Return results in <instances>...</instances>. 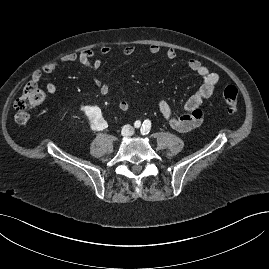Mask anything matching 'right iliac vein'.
<instances>
[{
  "label": "right iliac vein",
  "mask_w": 269,
  "mask_h": 269,
  "mask_svg": "<svg viewBox=\"0 0 269 269\" xmlns=\"http://www.w3.org/2000/svg\"><path fill=\"white\" fill-rule=\"evenodd\" d=\"M129 132H130V128L128 126H126V127L123 128L121 134L123 136H127L129 134Z\"/></svg>",
  "instance_id": "63e3f726"
}]
</instances>
